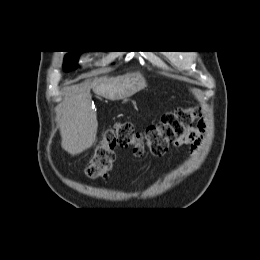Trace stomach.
<instances>
[{
  "label": "stomach",
  "instance_id": "obj_1",
  "mask_svg": "<svg viewBox=\"0 0 260 260\" xmlns=\"http://www.w3.org/2000/svg\"><path fill=\"white\" fill-rule=\"evenodd\" d=\"M146 87L145 79L138 74L118 77L117 82L111 87L113 100L130 97Z\"/></svg>",
  "mask_w": 260,
  "mask_h": 260
}]
</instances>
